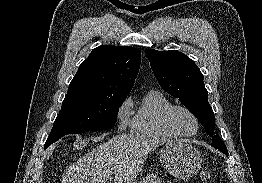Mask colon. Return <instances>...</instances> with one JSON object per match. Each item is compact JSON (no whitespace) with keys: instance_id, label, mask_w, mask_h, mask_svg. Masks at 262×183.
<instances>
[{"instance_id":"colon-1","label":"colon","mask_w":262,"mask_h":183,"mask_svg":"<svg viewBox=\"0 0 262 183\" xmlns=\"http://www.w3.org/2000/svg\"><path fill=\"white\" fill-rule=\"evenodd\" d=\"M199 180L202 182H208L211 179V172L210 170H201L199 172Z\"/></svg>"}]
</instances>
